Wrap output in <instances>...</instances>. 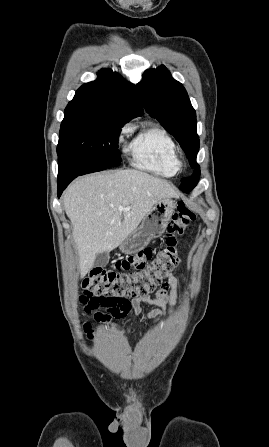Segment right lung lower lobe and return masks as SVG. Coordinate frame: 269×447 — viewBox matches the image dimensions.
<instances>
[{"label": "right lung lower lobe", "mask_w": 269, "mask_h": 447, "mask_svg": "<svg viewBox=\"0 0 269 447\" xmlns=\"http://www.w3.org/2000/svg\"><path fill=\"white\" fill-rule=\"evenodd\" d=\"M58 166V197L61 196L63 190L77 176L107 169L69 160L58 161Z\"/></svg>", "instance_id": "98d812e1"}]
</instances>
